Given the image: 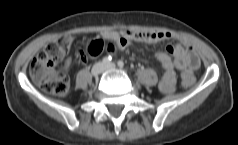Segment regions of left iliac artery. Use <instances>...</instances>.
<instances>
[{
    "mask_svg": "<svg viewBox=\"0 0 238 145\" xmlns=\"http://www.w3.org/2000/svg\"><path fill=\"white\" fill-rule=\"evenodd\" d=\"M118 67L123 68L124 67V62L123 61H118L117 62Z\"/></svg>",
    "mask_w": 238,
    "mask_h": 145,
    "instance_id": "left-iliac-artery-1",
    "label": "left iliac artery"
}]
</instances>
